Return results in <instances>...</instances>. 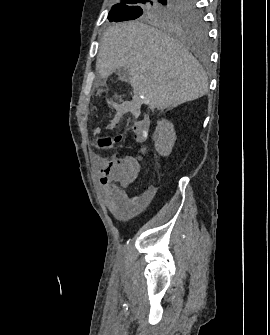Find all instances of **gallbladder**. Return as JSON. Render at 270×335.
<instances>
[{
  "instance_id": "obj_1",
  "label": "gallbladder",
  "mask_w": 270,
  "mask_h": 335,
  "mask_svg": "<svg viewBox=\"0 0 270 335\" xmlns=\"http://www.w3.org/2000/svg\"><path fill=\"white\" fill-rule=\"evenodd\" d=\"M117 76L119 80H121V82H129V78H130L129 68H124V66H122V68H118Z\"/></svg>"
}]
</instances>
